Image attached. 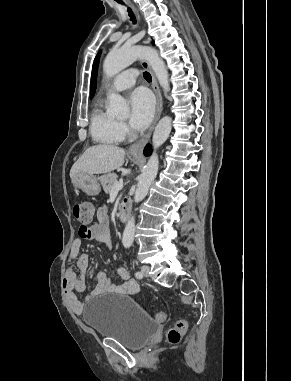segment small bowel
<instances>
[{"label":"small bowel","instance_id":"obj_1","mask_svg":"<svg viewBox=\"0 0 291 381\" xmlns=\"http://www.w3.org/2000/svg\"><path fill=\"white\" fill-rule=\"evenodd\" d=\"M97 216L98 223L91 225L87 229H79V234L73 241L71 247L69 260L75 261L77 268L81 272V275L78 276L76 271L70 267L67 268L63 279V288L66 299L73 312L76 314L83 312L87 301L102 294L115 293L126 296H133L140 291L138 282L130 277L129 272L123 265H119L117 267V274L120 279L123 280L122 285L113 283L105 273L100 272L96 275L97 285L95 289L86 296L84 301L78 299L76 293L85 292V274L90 265L88 255L80 253L82 241L85 239L95 240L106 245L108 248L112 247V242L108 230V218L106 209L104 207L99 208Z\"/></svg>","mask_w":291,"mask_h":381}]
</instances>
